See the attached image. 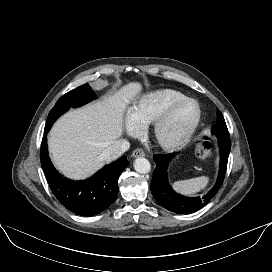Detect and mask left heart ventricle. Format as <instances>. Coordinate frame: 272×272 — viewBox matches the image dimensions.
Masks as SVG:
<instances>
[{"label":"left heart ventricle","mask_w":272,"mask_h":272,"mask_svg":"<svg viewBox=\"0 0 272 272\" xmlns=\"http://www.w3.org/2000/svg\"><path fill=\"white\" fill-rule=\"evenodd\" d=\"M196 117V106L193 103H185L179 106L162 129L164 139H176L181 137L191 126Z\"/></svg>","instance_id":"1"}]
</instances>
